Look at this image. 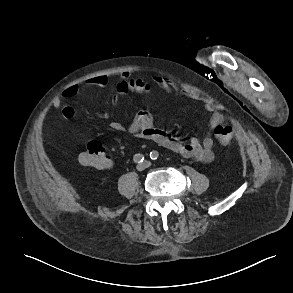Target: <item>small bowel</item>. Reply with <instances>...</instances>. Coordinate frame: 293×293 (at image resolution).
<instances>
[{
    "instance_id": "obj_1",
    "label": "small bowel",
    "mask_w": 293,
    "mask_h": 293,
    "mask_svg": "<svg viewBox=\"0 0 293 293\" xmlns=\"http://www.w3.org/2000/svg\"><path fill=\"white\" fill-rule=\"evenodd\" d=\"M153 82L164 91H175L191 99H198V96L195 93L186 89H178L166 77L156 75L153 77ZM107 83L108 79L104 76H100L88 80L85 83V86L104 87ZM116 88L117 92L120 94L127 93L128 91L147 92L149 90L148 84L143 79L132 78L127 72L121 74L120 80L116 84ZM79 90V85H71L53 101V106L56 109H61L64 117L67 119L74 117V109L66 105V102L75 97ZM117 100V96L114 97L112 99V104H115ZM205 108L207 111L211 112V117L209 121V133L202 141L197 138H191L187 141L176 139L169 132L156 127L152 115L145 111L138 113L127 127L118 121H111L109 126L116 132L128 131L135 138L153 141L168 150L181 154L184 157L192 158L203 163H210L214 159V140L210 133L216 126L223 122L224 117L208 104L205 105ZM111 167L112 161L109 159V166L106 169H110Z\"/></svg>"
}]
</instances>
